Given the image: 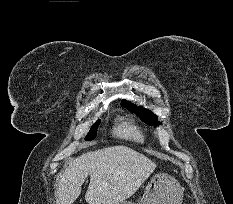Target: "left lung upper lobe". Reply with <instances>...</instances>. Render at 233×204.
Returning <instances> with one entry per match:
<instances>
[{
    "label": "left lung upper lobe",
    "mask_w": 233,
    "mask_h": 204,
    "mask_svg": "<svg viewBox=\"0 0 233 204\" xmlns=\"http://www.w3.org/2000/svg\"><path fill=\"white\" fill-rule=\"evenodd\" d=\"M121 105L126 107L127 109H129L132 112H136V114H138V116H140V118L145 123H147L149 125L155 124V126L158 125L156 117L152 113H150L148 110L144 109L143 107H138L137 109H135V106L131 105L126 100H123L121 102Z\"/></svg>",
    "instance_id": "obj_1"
}]
</instances>
